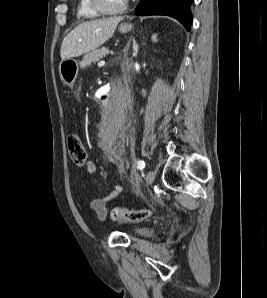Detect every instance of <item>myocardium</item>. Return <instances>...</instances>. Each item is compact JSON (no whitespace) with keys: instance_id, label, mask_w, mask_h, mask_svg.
<instances>
[{"instance_id":"obj_1","label":"myocardium","mask_w":267,"mask_h":298,"mask_svg":"<svg viewBox=\"0 0 267 298\" xmlns=\"http://www.w3.org/2000/svg\"><path fill=\"white\" fill-rule=\"evenodd\" d=\"M92 7L101 15H116L124 12L127 8V1L122 6L116 9H109L104 0H90Z\"/></svg>"}]
</instances>
